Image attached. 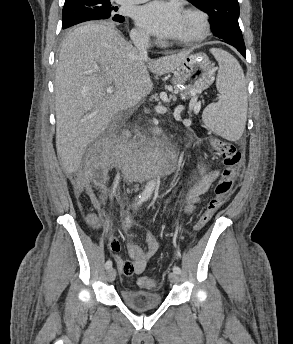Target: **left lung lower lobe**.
Listing matches in <instances>:
<instances>
[{"instance_id":"0a47b994","label":"left lung lower lobe","mask_w":293,"mask_h":344,"mask_svg":"<svg viewBox=\"0 0 293 344\" xmlns=\"http://www.w3.org/2000/svg\"><path fill=\"white\" fill-rule=\"evenodd\" d=\"M232 46H234L245 58H246V49H245V45H236V44H230Z\"/></svg>"}]
</instances>
